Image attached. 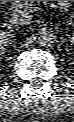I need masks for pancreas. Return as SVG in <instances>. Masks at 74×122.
<instances>
[{
  "mask_svg": "<svg viewBox=\"0 0 74 122\" xmlns=\"http://www.w3.org/2000/svg\"><path fill=\"white\" fill-rule=\"evenodd\" d=\"M15 8L31 9L38 1H10Z\"/></svg>",
  "mask_w": 74,
  "mask_h": 122,
  "instance_id": "1",
  "label": "pancreas"
}]
</instances>
